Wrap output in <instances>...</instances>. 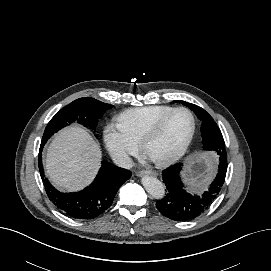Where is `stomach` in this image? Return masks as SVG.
<instances>
[{
  "label": "stomach",
  "mask_w": 271,
  "mask_h": 271,
  "mask_svg": "<svg viewBox=\"0 0 271 271\" xmlns=\"http://www.w3.org/2000/svg\"><path fill=\"white\" fill-rule=\"evenodd\" d=\"M213 162L207 156L193 160L185 174V181L193 191L201 190L213 174Z\"/></svg>",
  "instance_id": "stomach-1"
}]
</instances>
